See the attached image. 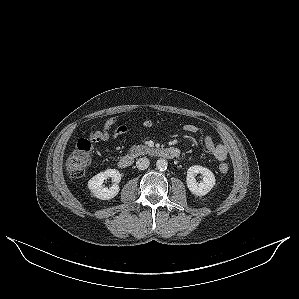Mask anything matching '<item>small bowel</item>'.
<instances>
[{
  "label": "small bowel",
  "mask_w": 299,
  "mask_h": 299,
  "mask_svg": "<svg viewBox=\"0 0 299 299\" xmlns=\"http://www.w3.org/2000/svg\"><path fill=\"white\" fill-rule=\"evenodd\" d=\"M116 122V118L112 117L105 121L101 130L91 131L89 134V140L92 143H98L101 141H108L117 137L126 131V126H120L116 130L112 131V127ZM184 130L187 133L195 134L198 128L193 124H186ZM205 147L208 154L218 161H224L227 158L228 150L223 144H216L210 136L205 138Z\"/></svg>",
  "instance_id": "1"
}]
</instances>
